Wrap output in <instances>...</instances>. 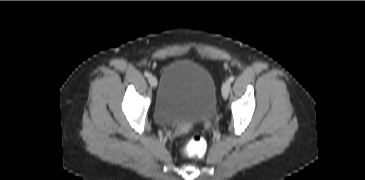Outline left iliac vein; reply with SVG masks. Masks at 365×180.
<instances>
[{
	"label": "left iliac vein",
	"instance_id": "4c4485c4",
	"mask_svg": "<svg viewBox=\"0 0 365 180\" xmlns=\"http://www.w3.org/2000/svg\"><path fill=\"white\" fill-rule=\"evenodd\" d=\"M230 89H231V83L229 80H227L222 85V96L224 99L228 97Z\"/></svg>",
	"mask_w": 365,
	"mask_h": 180
}]
</instances>
